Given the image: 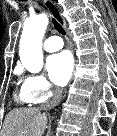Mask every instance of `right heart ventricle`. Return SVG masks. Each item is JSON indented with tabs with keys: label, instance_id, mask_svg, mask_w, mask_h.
Instances as JSON below:
<instances>
[{
	"label": "right heart ventricle",
	"instance_id": "obj_1",
	"mask_svg": "<svg viewBox=\"0 0 117 136\" xmlns=\"http://www.w3.org/2000/svg\"><path fill=\"white\" fill-rule=\"evenodd\" d=\"M16 99H17L18 103H20V104H23V105L30 104V101L28 100L26 94L24 93L23 88L17 94Z\"/></svg>",
	"mask_w": 117,
	"mask_h": 136
}]
</instances>
